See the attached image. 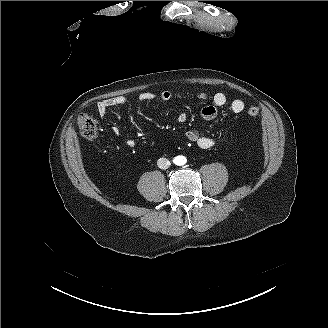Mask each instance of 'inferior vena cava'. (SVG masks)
Segmentation results:
<instances>
[{"mask_svg":"<svg viewBox=\"0 0 328 328\" xmlns=\"http://www.w3.org/2000/svg\"><path fill=\"white\" fill-rule=\"evenodd\" d=\"M157 165L161 169H167L171 165V162L167 158H160L157 161Z\"/></svg>","mask_w":328,"mask_h":328,"instance_id":"obj_1","label":"inferior vena cava"}]
</instances>
